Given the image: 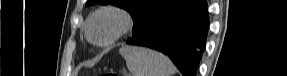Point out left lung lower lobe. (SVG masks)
Instances as JSON below:
<instances>
[{
    "label": "left lung lower lobe",
    "mask_w": 287,
    "mask_h": 76,
    "mask_svg": "<svg viewBox=\"0 0 287 76\" xmlns=\"http://www.w3.org/2000/svg\"><path fill=\"white\" fill-rule=\"evenodd\" d=\"M209 16L206 0L174 4L127 44L145 46L169 56L183 76H195L204 50Z\"/></svg>",
    "instance_id": "0a47b994"
}]
</instances>
